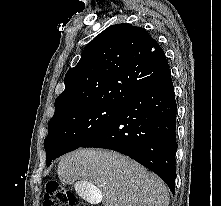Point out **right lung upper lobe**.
Masks as SVG:
<instances>
[{
    "label": "right lung upper lobe",
    "instance_id": "1",
    "mask_svg": "<svg viewBox=\"0 0 221 206\" xmlns=\"http://www.w3.org/2000/svg\"><path fill=\"white\" fill-rule=\"evenodd\" d=\"M169 69L159 44L141 28L116 24L95 37L65 75L55 114L93 104L122 105Z\"/></svg>",
    "mask_w": 221,
    "mask_h": 206
}]
</instances>
